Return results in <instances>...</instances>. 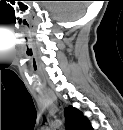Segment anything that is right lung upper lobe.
I'll return each mask as SVG.
<instances>
[{
    "label": "right lung upper lobe",
    "mask_w": 123,
    "mask_h": 130,
    "mask_svg": "<svg viewBox=\"0 0 123 130\" xmlns=\"http://www.w3.org/2000/svg\"><path fill=\"white\" fill-rule=\"evenodd\" d=\"M66 128L68 130H91V125L86 117L82 113L72 107L65 108Z\"/></svg>",
    "instance_id": "1"
}]
</instances>
